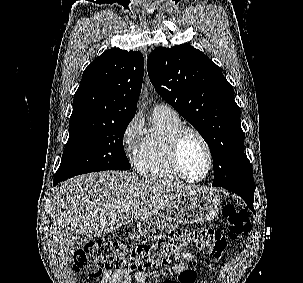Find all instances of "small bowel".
<instances>
[{"mask_svg":"<svg viewBox=\"0 0 303 283\" xmlns=\"http://www.w3.org/2000/svg\"><path fill=\"white\" fill-rule=\"evenodd\" d=\"M176 258L195 263L201 262V260L191 252H182L177 255ZM186 269H189L186 263H178L174 267L173 272L180 273ZM134 278L137 283H152L143 271L136 272ZM100 283H132V278L130 272L125 270L106 271Z\"/></svg>","mask_w":303,"mask_h":283,"instance_id":"obj_1","label":"small bowel"}]
</instances>
